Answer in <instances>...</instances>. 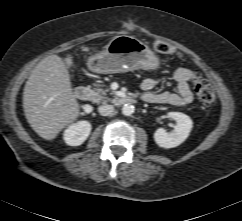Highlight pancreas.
I'll list each match as a JSON object with an SVG mask.
<instances>
[{
  "label": "pancreas",
  "instance_id": "obj_1",
  "mask_svg": "<svg viewBox=\"0 0 242 221\" xmlns=\"http://www.w3.org/2000/svg\"><path fill=\"white\" fill-rule=\"evenodd\" d=\"M95 86L98 87L99 85H95ZM108 91L109 89H105V90H103L102 88L94 89L92 101L95 103H100V102L106 103L108 101H111V99L106 96ZM110 94L113 95L115 93L112 91ZM112 101H115V99H112Z\"/></svg>",
  "mask_w": 242,
  "mask_h": 221
}]
</instances>
